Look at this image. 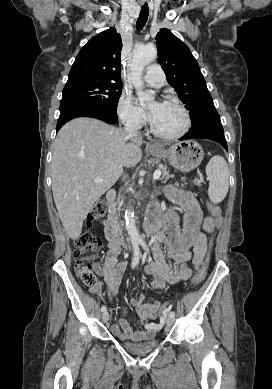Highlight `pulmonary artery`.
I'll return each instance as SVG.
<instances>
[{"label": "pulmonary artery", "mask_w": 272, "mask_h": 389, "mask_svg": "<svg viewBox=\"0 0 272 389\" xmlns=\"http://www.w3.org/2000/svg\"><path fill=\"white\" fill-rule=\"evenodd\" d=\"M144 81L153 87H161L165 82V73L159 64H150L144 75Z\"/></svg>", "instance_id": "pulmonary-artery-1"}]
</instances>
